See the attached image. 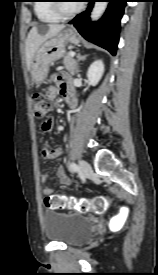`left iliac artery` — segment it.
I'll return each instance as SVG.
<instances>
[{
	"label": "left iliac artery",
	"mask_w": 158,
	"mask_h": 275,
	"mask_svg": "<svg viewBox=\"0 0 158 275\" xmlns=\"http://www.w3.org/2000/svg\"><path fill=\"white\" fill-rule=\"evenodd\" d=\"M69 167H70V170L72 172H77L78 171V166L73 162L69 164Z\"/></svg>",
	"instance_id": "obj_1"
}]
</instances>
